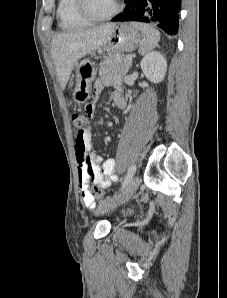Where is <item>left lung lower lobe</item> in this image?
Returning <instances> with one entry per match:
<instances>
[{
	"label": "left lung lower lobe",
	"mask_w": 227,
	"mask_h": 298,
	"mask_svg": "<svg viewBox=\"0 0 227 298\" xmlns=\"http://www.w3.org/2000/svg\"><path fill=\"white\" fill-rule=\"evenodd\" d=\"M126 7L112 21L153 22L167 34L178 32L181 0H125Z\"/></svg>",
	"instance_id": "1"
}]
</instances>
